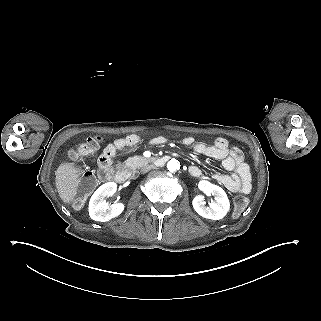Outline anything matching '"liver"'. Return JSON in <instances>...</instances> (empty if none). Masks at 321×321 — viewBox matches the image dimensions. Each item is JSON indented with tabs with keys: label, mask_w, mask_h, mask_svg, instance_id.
Masks as SVG:
<instances>
[{
	"label": "liver",
	"mask_w": 321,
	"mask_h": 321,
	"mask_svg": "<svg viewBox=\"0 0 321 321\" xmlns=\"http://www.w3.org/2000/svg\"><path fill=\"white\" fill-rule=\"evenodd\" d=\"M76 163L62 162L55 173V184L63 203L70 205L79 193L82 182Z\"/></svg>",
	"instance_id": "1"
}]
</instances>
